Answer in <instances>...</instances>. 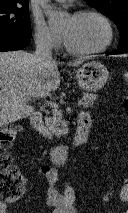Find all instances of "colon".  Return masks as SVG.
Here are the masks:
<instances>
[{
    "label": "colon",
    "mask_w": 128,
    "mask_h": 213,
    "mask_svg": "<svg viewBox=\"0 0 128 213\" xmlns=\"http://www.w3.org/2000/svg\"><path fill=\"white\" fill-rule=\"evenodd\" d=\"M124 80L128 83V71L124 73ZM123 108L128 111V95L123 100ZM21 128L17 125H7L0 129V202L13 203L19 200L24 192L26 180L19 170L11 163L7 154V148L14 142ZM111 191L105 198L108 199ZM120 197L128 202V178L122 186ZM64 206L71 208L75 206L76 194L72 186L68 185L64 191Z\"/></svg>",
    "instance_id": "1"
}]
</instances>
